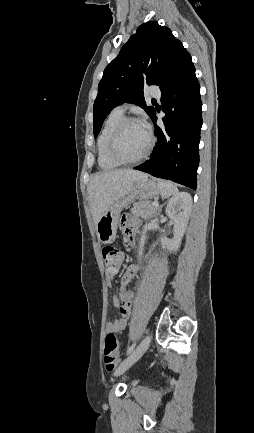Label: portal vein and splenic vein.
Returning <instances> with one entry per match:
<instances>
[{
  "mask_svg": "<svg viewBox=\"0 0 254 433\" xmlns=\"http://www.w3.org/2000/svg\"><path fill=\"white\" fill-rule=\"evenodd\" d=\"M152 205H154V206H158V202L155 201V202L152 203Z\"/></svg>",
  "mask_w": 254,
  "mask_h": 433,
  "instance_id": "18ae733b",
  "label": "portal vein and splenic vein"
}]
</instances>
